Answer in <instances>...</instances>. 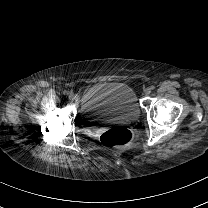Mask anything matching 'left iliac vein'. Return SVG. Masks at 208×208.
<instances>
[{
    "label": "left iliac vein",
    "mask_w": 208,
    "mask_h": 208,
    "mask_svg": "<svg viewBox=\"0 0 208 208\" xmlns=\"http://www.w3.org/2000/svg\"><path fill=\"white\" fill-rule=\"evenodd\" d=\"M144 93H145L146 95H149V94L151 93V89H150V88H146V89L144 90Z\"/></svg>",
    "instance_id": "obj_1"
}]
</instances>
